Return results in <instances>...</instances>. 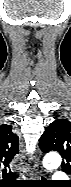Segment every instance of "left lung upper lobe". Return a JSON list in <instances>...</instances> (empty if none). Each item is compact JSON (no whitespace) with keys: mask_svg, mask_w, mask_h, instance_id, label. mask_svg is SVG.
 Instances as JSON below:
<instances>
[{"mask_svg":"<svg viewBox=\"0 0 71 187\" xmlns=\"http://www.w3.org/2000/svg\"><path fill=\"white\" fill-rule=\"evenodd\" d=\"M42 152L57 151L63 158L62 170L71 173V122L58 119L52 122L39 140Z\"/></svg>","mask_w":71,"mask_h":187,"instance_id":"obj_1","label":"left lung upper lobe"}]
</instances>
